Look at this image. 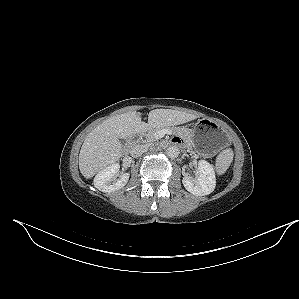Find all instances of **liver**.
<instances>
[{"label": "liver", "instance_id": "liver-1", "mask_svg": "<svg viewBox=\"0 0 299 299\" xmlns=\"http://www.w3.org/2000/svg\"><path fill=\"white\" fill-rule=\"evenodd\" d=\"M198 118L187 112L155 109L148 115V123L141 121V113L132 111L103 121L85 138L80 154L79 169L86 178H92L104 168L118 162L122 156L119 139H128L149 128L179 125Z\"/></svg>", "mask_w": 299, "mask_h": 299}]
</instances>
